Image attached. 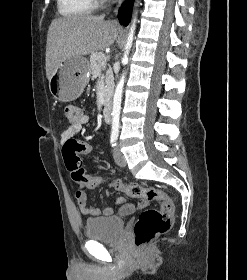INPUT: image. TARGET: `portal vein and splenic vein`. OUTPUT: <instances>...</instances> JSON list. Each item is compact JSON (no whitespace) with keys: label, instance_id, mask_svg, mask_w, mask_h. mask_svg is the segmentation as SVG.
Returning <instances> with one entry per match:
<instances>
[{"label":"portal vein and splenic vein","instance_id":"portal-vein-and-splenic-vein-1","mask_svg":"<svg viewBox=\"0 0 247 280\" xmlns=\"http://www.w3.org/2000/svg\"><path fill=\"white\" fill-rule=\"evenodd\" d=\"M102 66H103V67H105V66H106V64H105V63H102Z\"/></svg>","mask_w":247,"mask_h":280}]
</instances>
